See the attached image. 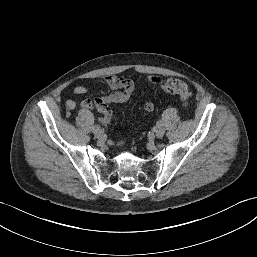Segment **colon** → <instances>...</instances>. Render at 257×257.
Segmentation results:
<instances>
[{
  "label": "colon",
  "instance_id": "1",
  "mask_svg": "<svg viewBox=\"0 0 257 257\" xmlns=\"http://www.w3.org/2000/svg\"><path fill=\"white\" fill-rule=\"evenodd\" d=\"M162 89L165 93L177 95L184 106H187L191 99V92L188 85L180 79H168L162 84Z\"/></svg>",
  "mask_w": 257,
  "mask_h": 257
}]
</instances>
